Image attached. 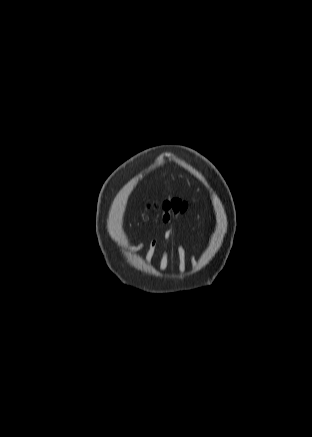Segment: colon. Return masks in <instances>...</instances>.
Here are the masks:
<instances>
[{"label":"colon","instance_id":"obj_1","mask_svg":"<svg viewBox=\"0 0 312 437\" xmlns=\"http://www.w3.org/2000/svg\"><path fill=\"white\" fill-rule=\"evenodd\" d=\"M151 208L162 213L163 221H168L171 218L184 213L187 209V204L178 199H171L154 203Z\"/></svg>","mask_w":312,"mask_h":437}]
</instances>
